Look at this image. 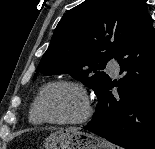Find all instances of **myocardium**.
<instances>
[{"label": "myocardium", "instance_id": "obj_1", "mask_svg": "<svg viewBox=\"0 0 155 149\" xmlns=\"http://www.w3.org/2000/svg\"><path fill=\"white\" fill-rule=\"evenodd\" d=\"M58 85L73 87L81 95L82 100H83V111H82V114L78 118L70 119V120H55V119L49 118L44 113L42 109V105H41L43 95L50 87L58 86ZM34 105H35L37 114L39 115V117L42 119L43 122L54 124V125H62V126L82 124L91 117L92 111H93L90 97H89L86 87L82 83L76 80H71V79H57V80H53V81L46 83L39 91L34 101Z\"/></svg>", "mask_w": 155, "mask_h": 149}]
</instances>
